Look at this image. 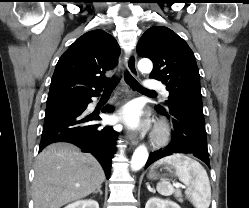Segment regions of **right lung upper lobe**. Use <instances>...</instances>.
<instances>
[{"label":"right lung upper lobe","instance_id":"cb5924a9","mask_svg":"<svg viewBox=\"0 0 249 208\" xmlns=\"http://www.w3.org/2000/svg\"><path fill=\"white\" fill-rule=\"evenodd\" d=\"M120 47L113 36L93 30L79 37L60 57L47 105L92 97L102 91L105 72L118 63Z\"/></svg>","mask_w":249,"mask_h":208}]
</instances>
